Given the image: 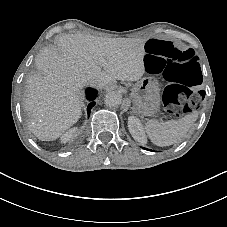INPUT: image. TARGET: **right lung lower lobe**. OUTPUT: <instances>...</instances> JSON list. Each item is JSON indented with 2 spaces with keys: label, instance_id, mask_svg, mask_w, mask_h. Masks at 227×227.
I'll list each match as a JSON object with an SVG mask.
<instances>
[{
  "label": "right lung lower lobe",
  "instance_id": "1",
  "mask_svg": "<svg viewBox=\"0 0 227 227\" xmlns=\"http://www.w3.org/2000/svg\"><path fill=\"white\" fill-rule=\"evenodd\" d=\"M86 94H87L88 100L91 101L87 107L88 115H90L91 108L95 105L94 99L97 96V91L89 88L87 89Z\"/></svg>",
  "mask_w": 227,
  "mask_h": 227
}]
</instances>
